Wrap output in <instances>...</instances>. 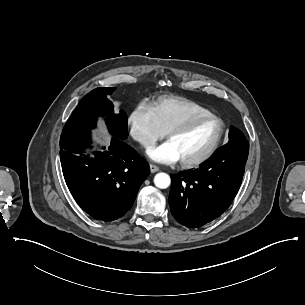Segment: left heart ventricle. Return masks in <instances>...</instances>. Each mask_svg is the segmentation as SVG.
Instances as JSON below:
<instances>
[{
    "instance_id": "obj_1",
    "label": "left heart ventricle",
    "mask_w": 305,
    "mask_h": 305,
    "mask_svg": "<svg viewBox=\"0 0 305 305\" xmlns=\"http://www.w3.org/2000/svg\"><path fill=\"white\" fill-rule=\"evenodd\" d=\"M221 123L216 118L191 125L184 131L173 133L168 140L180 154V160H191L205 153L218 139Z\"/></svg>"
}]
</instances>
